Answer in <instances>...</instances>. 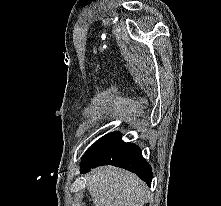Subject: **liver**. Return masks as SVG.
Listing matches in <instances>:
<instances>
[{"instance_id":"obj_1","label":"liver","mask_w":221,"mask_h":206,"mask_svg":"<svg viewBox=\"0 0 221 206\" xmlns=\"http://www.w3.org/2000/svg\"><path fill=\"white\" fill-rule=\"evenodd\" d=\"M87 188L95 206H143L147 192L136 175L112 166L92 170Z\"/></svg>"}]
</instances>
